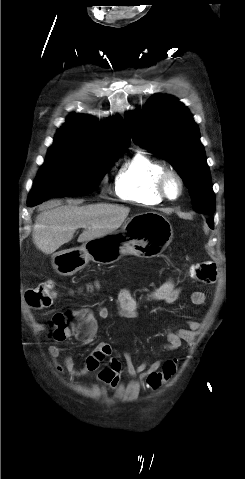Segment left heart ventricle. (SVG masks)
<instances>
[{
	"instance_id": "obj_1",
	"label": "left heart ventricle",
	"mask_w": 245,
	"mask_h": 479,
	"mask_svg": "<svg viewBox=\"0 0 245 479\" xmlns=\"http://www.w3.org/2000/svg\"><path fill=\"white\" fill-rule=\"evenodd\" d=\"M168 192L171 196H175L178 193V184L176 181H171L168 185Z\"/></svg>"
}]
</instances>
